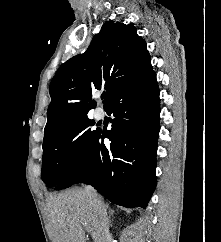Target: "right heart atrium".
Returning <instances> with one entry per match:
<instances>
[{
	"label": "right heart atrium",
	"mask_w": 221,
	"mask_h": 242,
	"mask_svg": "<svg viewBox=\"0 0 221 242\" xmlns=\"http://www.w3.org/2000/svg\"><path fill=\"white\" fill-rule=\"evenodd\" d=\"M78 149H79V147H78V144L76 143V141L72 144V150L76 153V152H78Z\"/></svg>",
	"instance_id": "d8ad5b80"
}]
</instances>
